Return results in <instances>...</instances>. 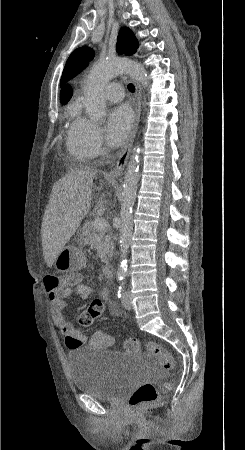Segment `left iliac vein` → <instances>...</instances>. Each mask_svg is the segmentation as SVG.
<instances>
[{
    "instance_id": "4c4485c4",
    "label": "left iliac vein",
    "mask_w": 245,
    "mask_h": 450,
    "mask_svg": "<svg viewBox=\"0 0 245 450\" xmlns=\"http://www.w3.org/2000/svg\"><path fill=\"white\" fill-rule=\"evenodd\" d=\"M121 304L126 309H131L132 308V302H131V297H130V292L129 291H125L122 294Z\"/></svg>"
}]
</instances>
